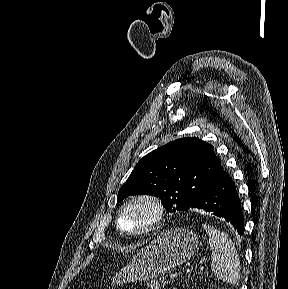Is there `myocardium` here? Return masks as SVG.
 <instances>
[{
    "label": "myocardium",
    "instance_id": "obj_1",
    "mask_svg": "<svg viewBox=\"0 0 288 289\" xmlns=\"http://www.w3.org/2000/svg\"><path fill=\"white\" fill-rule=\"evenodd\" d=\"M144 204L151 210V219L139 230L128 232L122 229L120 220L124 211L135 205ZM165 218V207L163 202L156 196L151 194H137L126 200L117 212L115 224L117 230L128 237H141L150 234L161 227Z\"/></svg>",
    "mask_w": 288,
    "mask_h": 289
}]
</instances>
